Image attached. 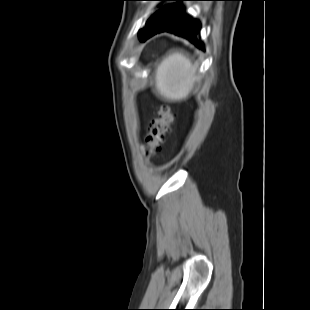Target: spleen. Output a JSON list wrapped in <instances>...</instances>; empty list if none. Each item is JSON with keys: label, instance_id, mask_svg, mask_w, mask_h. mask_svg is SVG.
<instances>
[{"label": "spleen", "instance_id": "obj_1", "mask_svg": "<svg viewBox=\"0 0 310 310\" xmlns=\"http://www.w3.org/2000/svg\"><path fill=\"white\" fill-rule=\"evenodd\" d=\"M197 80L196 67L183 52L169 53L157 66L155 88L169 101H181L188 97Z\"/></svg>", "mask_w": 310, "mask_h": 310}]
</instances>
